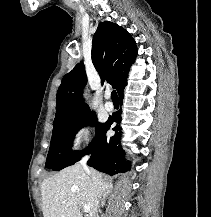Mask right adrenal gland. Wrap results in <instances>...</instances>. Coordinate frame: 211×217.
<instances>
[{"mask_svg":"<svg viewBox=\"0 0 211 217\" xmlns=\"http://www.w3.org/2000/svg\"><path fill=\"white\" fill-rule=\"evenodd\" d=\"M110 192H111V189L103 195L102 200H101V206L102 207L105 206V198Z\"/></svg>","mask_w":211,"mask_h":217,"instance_id":"obj_1","label":"right adrenal gland"}]
</instances>
